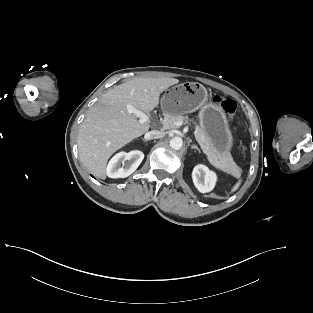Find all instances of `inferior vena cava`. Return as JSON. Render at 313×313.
I'll return each instance as SVG.
<instances>
[{"label":"inferior vena cava","mask_w":313,"mask_h":313,"mask_svg":"<svg viewBox=\"0 0 313 313\" xmlns=\"http://www.w3.org/2000/svg\"><path fill=\"white\" fill-rule=\"evenodd\" d=\"M165 132L159 130H151L145 134L147 140L158 139L164 137Z\"/></svg>","instance_id":"1"}]
</instances>
